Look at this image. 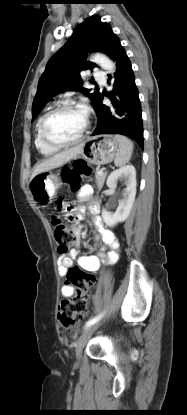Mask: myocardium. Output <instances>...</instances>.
<instances>
[{
  "label": "myocardium",
  "instance_id": "obj_1",
  "mask_svg": "<svg viewBox=\"0 0 187 415\" xmlns=\"http://www.w3.org/2000/svg\"><path fill=\"white\" fill-rule=\"evenodd\" d=\"M63 108H77V106L70 100H63L60 101L58 103H56L49 111H47L40 123V136L42 138V140L44 141L45 144L51 146V147H55V148H65V147H69L72 145H75L77 143H79L80 141L83 140V138L85 137V135L87 134L89 127H90V120L88 118L87 115H85V126L82 130V132L74 139L69 140V141H57L54 140L52 138H50L47 134L46 128H47V123L50 119V117L56 113L57 111H59L60 109Z\"/></svg>",
  "mask_w": 187,
  "mask_h": 415
}]
</instances>
